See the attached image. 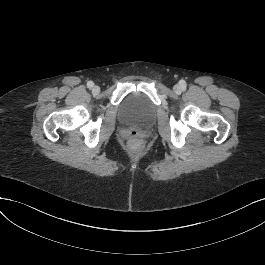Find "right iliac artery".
Here are the masks:
<instances>
[{
  "mask_svg": "<svg viewBox=\"0 0 265 265\" xmlns=\"http://www.w3.org/2000/svg\"><path fill=\"white\" fill-rule=\"evenodd\" d=\"M94 86V83L92 82V81H89L88 83H87V87L88 88H92Z\"/></svg>",
  "mask_w": 265,
  "mask_h": 265,
  "instance_id": "obj_1",
  "label": "right iliac artery"
}]
</instances>
